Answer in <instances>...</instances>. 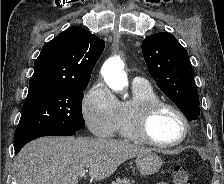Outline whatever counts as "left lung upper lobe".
<instances>
[{"mask_svg": "<svg viewBox=\"0 0 224 184\" xmlns=\"http://www.w3.org/2000/svg\"><path fill=\"white\" fill-rule=\"evenodd\" d=\"M150 74L161 91L189 121L200 115L198 91L188 53L170 33L159 32L142 42Z\"/></svg>", "mask_w": 224, "mask_h": 184, "instance_id": "1", "label": "left lung upper lobe"}]
</instances>
